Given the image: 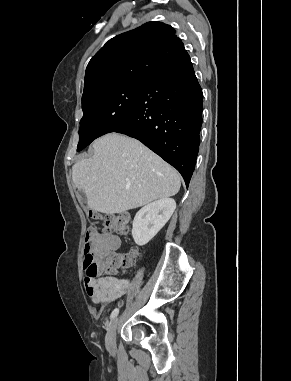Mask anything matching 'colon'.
I'll use <instances>...</instances> for the list:
<instances>
[{
	"label": "colon",
	"instance_id": "5ec220e1",
	"mask_svg": "<svg viewBox=\"0 0 291 381\" xmlns=\"http://www.w3.org/2000/svg\"><path fill=\"white\" fill-rule=\"evenodd\" d=\"M92 218L106 233L128 234L131 230V217L127 213H114L102 215L92 213ZM97 226H92L85 235L83 265L89 277L100 274L125 272L135 263L137 253L117 254L113 251H100L93 238Z\"/></svg>",
	"mask_w": 291,
	"mask_h": 381
}]
</instances>
